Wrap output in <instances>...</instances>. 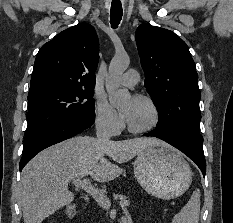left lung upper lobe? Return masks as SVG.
Wrapping results in <instances>:
<instances>
[{
	"label": "left lung upper lobe",
	"mask_w": 233,
	"mask_h": 223,
	"mask_svg": "<svg viewBox=\"0 0 233 223\" xmlns=\"http://www.w3.org/2000/svg\"><path fill=\"white\" fill-rule=\"evenodd\" d=\"M136 43L145 87L158 111L156 129L199 133L198 75L188 46L174 32L141 24Z\"/></svg>",
	"instance_id": "obj_1"
}]
</instances>
